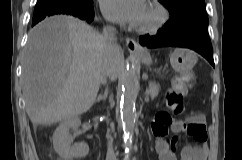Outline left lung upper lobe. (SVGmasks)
Listing matches in <instances>:
<instances>
[{
	"label": "left lung upper lobe",
	"instance_id": "obj_1",
	"mask_svg": "<svg viewBox=\"0 0 242 160\" xmlns=\"http://www.w3.org/2000/svg\"><path fill=\"white\" fill-rule=\"evenodd\" d=\"M169 11L164 28L175 33L189 26H208L204 0H159Z\"/></svg>",
	"mask_w": 242,
	"mask_h": 160
}]
</instances>
